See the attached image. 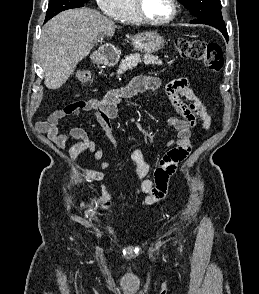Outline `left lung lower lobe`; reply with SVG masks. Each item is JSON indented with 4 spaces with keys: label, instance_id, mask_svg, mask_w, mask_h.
Wrapping results in <instances>:
<instances>
[{
    "label": "left lung lower lobe",
    "instance_id": "obj_1",
    "mask_svg": "<svg viewBox=\"0 0 259 294\" xmlns=\"http://www.w3.org/2000/svg\"><path fill=\"white\" fill-rule=\"evenodd\" d=\"M217 29H218L219 31H221L222 34L224 35V37L226 38V40H228V34H227V29H226V27H217Z\"/></svg>",
    "mask_w": 259,
    "mask_h": 294
}]
</instances>
